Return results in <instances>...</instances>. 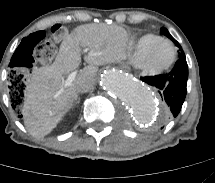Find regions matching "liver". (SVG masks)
Wrapping results in <instances>:
<instances>
[{"label":"liver","mask_w":215,"mask_h":183,"mask_svg":"<svg viewBox=\"0 0 215 183\" xmlns=\"http://www.w3.org/2000/svg\"><path fill=\"white\" fill-rule=\"evenodd\" d=\"M128 42L126 30L117 25H80L64 38L53 64L36 69L27 82L23 112L24 125L35 137L50 134L77 100L81 81L95 83L97 66L125 58ZM89 52L84 60L89 64L81 69L72 85L63 87V76L76 70L81 63V49Z\"/></svg>","instance_id":"1"}]
</instances>
